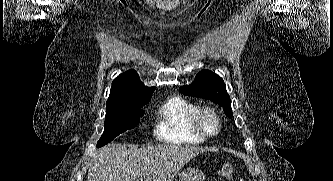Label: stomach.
<instances>
[{
    "instance_id": "0dacf381",
    "label": "stomach",
    "mask_w": 333,
    "mask_h": 181,
    "mask_svg": "<svg viewBox=\"0 0 333 181\" xmlns=\"http://www.w3.org/2000/svg\"><path fill=\"white\" fill-rule=\"evenodd\" d=\"M204 173L195 167H188L179 174V181H204Z\"/></svg>"
}]
</instances>
